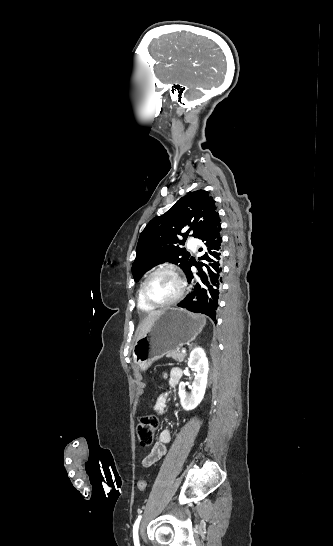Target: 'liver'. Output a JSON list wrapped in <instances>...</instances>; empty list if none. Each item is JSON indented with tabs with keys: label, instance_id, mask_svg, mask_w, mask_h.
Segmentation results:
<instances>
[{
	"label": "liver",
	"instance_id": "6515ba94",
	"mask_svg": "<svg viewBox=\"0 0 333 546\" xmlns=\"http://www.w3.org/2000/svg\"><path fill=\"white\" fill-rule=\"evenodd\" d=\"M165 310H159V311H153L148 314V316L144 319L143 323L140 325L138 338H141L144 336L149 329L151 328L154 321L162 314Z\"/></svg>",
	"mask_w": 333,
	"mask_h": 546
}]
</instances>
